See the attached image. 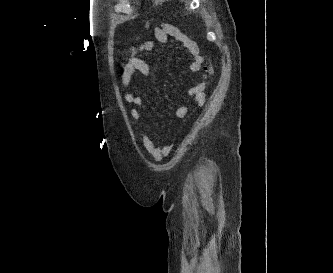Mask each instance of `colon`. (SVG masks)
<instances>
[{"mask_svg":"<svg viewBox=\"0 0 333 273\" xmlns=\"http://www.w3.org/2000/svg\"><path fill=\"white\" fill-rule=\"evenodd\" d=\"M139 48H140V43L138 41V38H136V41L132 44V46L128 50V60L138 56ZM212 75H213V66L212 64H209L206 68L205 78L207 80H210Z\"/></svg>","mask_w":333,"mask_h":273,"instance_id":"obj_1","label":"colon"}]
</instances>
